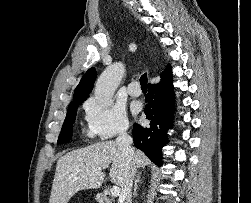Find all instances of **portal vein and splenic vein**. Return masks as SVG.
Segmentation results:
<instances>
[{
	"label": "portal vein and splenic vein",
	"instance_id": "18ae733b",
	"mask_svg": "<svg viewBox=\"0 0 251 203\" xmlns=\"http://www.w3.org/2000/svg\"><path fill=\"white\" fill-rule=\"evenodd\" d=\"M98 170L101 171L102 169L99 168ZM110 192H111V195H112V196L117 197V196H119V194H120V188H119L118 186H113V187L110 189Z\"/></svg>",
	"mask_w": 251,
	"mask_h": 203
}]
</instances>
